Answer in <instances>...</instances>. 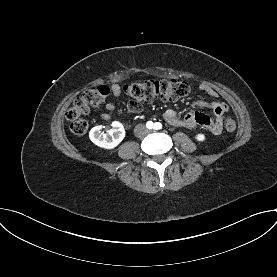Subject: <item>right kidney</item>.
Instances as JSON below:
<instances>
[{"label": "right kidney", "mask_w": 277, "mask_h": 277, "mask_svg": "<svg viewBox=\"0 0 277 277\" xmlns=\"http://www.w3.org/2000/svg\"><path fill=\"white\" fill-rule=\"evenodd\" d=\"M102 126H95L89 132L90 140L97 146L105 149H113L121 143L125 137V130L120 122H113L112 129L107 134L102 132Z\"/></svg>", "instance_id": "obj_1"}]
</instances>
